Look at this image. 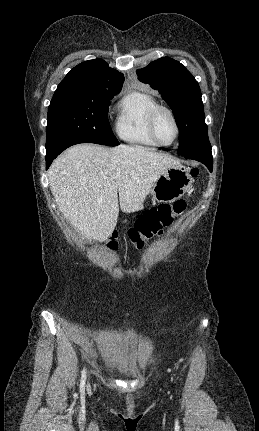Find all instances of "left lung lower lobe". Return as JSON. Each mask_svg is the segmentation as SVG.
Returning a JSON list of instances; mask_svg holds the SVG:
<instances>
[{"mask_svg":"<svg viewBox=\"0 0 259 431\" xmlns=\"http://www.w3.org/2000/svg\"><path fill=\"white\" fill-rule=\"evenodd\" d=\"M183 157H185L186 159L197 160V161L205 164L206 167L209 169V171L212 172L213 158H212V152L211 151L194 152V153L184 155Z\"/></svg>","mask_w":259,"mask_h":431,"instance_id":"0a47b994","label":"left lung lower lobe"}]
</instances>
